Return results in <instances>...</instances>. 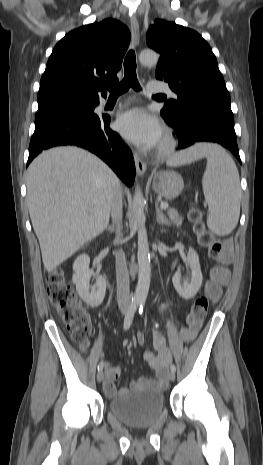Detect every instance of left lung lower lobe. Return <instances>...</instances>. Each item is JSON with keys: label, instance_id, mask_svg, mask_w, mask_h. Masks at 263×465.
<instances>
[{"label": "left lung lower lobe", "instance_id": "obj_1", "mask_svg": "<svg viewBox=\"0 0 263 465\" xmlns=\"http://www.w3.org/2000/svg\"><path fill=\"white\" fill-rule=\"evenodd\" d=\"M161 115L166 123L175 129L179 139L178 149L198 142H214L229 149L241 162L231 108L202 104L173 117H167L162 112Z\"/></svg>", "mask_w": 263, "mask_h": 465}]
</instances>
